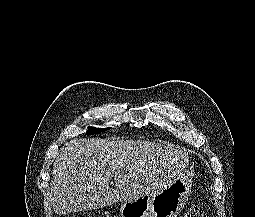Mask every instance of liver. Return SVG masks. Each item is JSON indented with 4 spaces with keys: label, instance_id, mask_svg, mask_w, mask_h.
Segmentation results:
<instances>
[{
    "label": "liver",
    "instance_id": "1",
    "mask_svg": "<svg viewBox=\"0 0 255 217\" xmlns=\"http://www.w3.org/2000/svg\"><path fill=\"white\" fill-rule=\"evenodd\" d=\"M188 152L147 141L73 139L53 164L56 214L102 208L150 195L188 165ZM114 179L115 189L109 187Z\"/></svg>",
    "mask_w": 255,
    "mask_h": 217
}]
</instances>
